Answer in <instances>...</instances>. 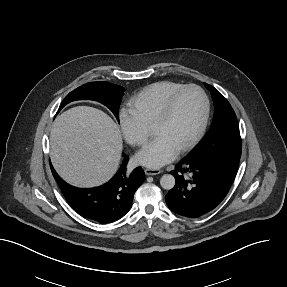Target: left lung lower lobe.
Listing matches in <instances>:
<instances>
[{
	"instance_id": "0a47b994",
	"label": "left lung lower lobe",
	"mask_w": 287,
	"mask_h": 287,
	"mask_svg": "<svg viewBox=\"0 0 287 287\" xmlns=\"http://www.w3.org/2000/svg\"><path fill=\"white\" fill-rule=\"evenodd\" d=\"M239 160L234 157L182 159L171 171L176 184L165 196L168 207L191 218L211 211L227 195Z\"/></svg>"
}]
</instances>
